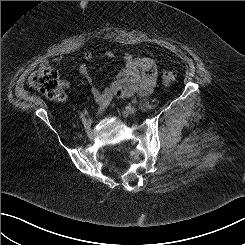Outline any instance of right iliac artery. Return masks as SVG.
I'll use <instances>...</instances> for the list:
<instances>
[{"mask_svg":"<svg viewBox=\"0 0 245 245\" xmlns=\"http://www.w3.org/2000/svg\"><path fill=\"white\" fill-rule=\"evenodd\" d=\"M87 114V110H83V112L80 113V118L83 119V117Z\"/></svg>","mask_w":245,"mask_h":245,"instance_id":"1","label":"right iliac artery"}]
</instances>
